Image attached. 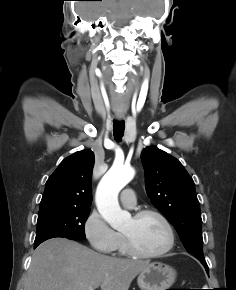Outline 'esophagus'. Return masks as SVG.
<instances>
[{
	"mask_svg": "<svg viewBox=\"0 0 236 290\" xmlns=\"http://www.w3.org/2000/svg\"><path fill=\"white\" fill-rule=\"evenodd\" d=\"M116 117H117L118 120H122V119L124 118V114H122V113H118V114L116 115Z\"/></svg>",
	"mask_w": 236,
	"mask_h": 290,
	"instance_id": "esophagus-1",
	"label": "esophagus"
}]
</instances>
